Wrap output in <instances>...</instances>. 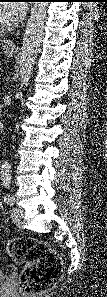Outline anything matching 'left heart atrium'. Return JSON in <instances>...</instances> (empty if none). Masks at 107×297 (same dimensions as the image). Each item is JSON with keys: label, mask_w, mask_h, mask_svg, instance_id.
Wrapping results in <instances>:
<instances>
[{"label": "left heart atrium", "mask_w": 107, "mask_h": 297, "mask_svg": "<svg viewBox=\"0 0 107 297\" xmlns=\"http://www.w3.org/2000/svg\"><path fill=\"white\" fill-rule=\"evenodd\" d=\"M26 11V7L24 4H12L9 5L7 13L8 20L10 23L16 22L20 20Z\"/></svg>", "instance_id": "left-heart-atrium-1"}]
</instances>
